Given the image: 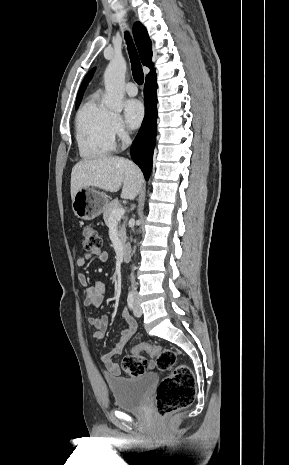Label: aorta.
I'll return each mask as SVG.
<instances>
[{"instance_id":"1","label":"aorta","mask_w":289,"mask_h":465,"mask_svg":"<svg viewBox=\"0 0 289 465\" xmlns=\"http://www.w3.org/2000/svg\"><path fill=\"white\" fill-rule=\"evenodd\" d=\"M125 73L126 61L123 57L113 58L104 73L106 90L104 103L106 107L115 112H121L123 109Z\"/></svg>"}]
</instances>
